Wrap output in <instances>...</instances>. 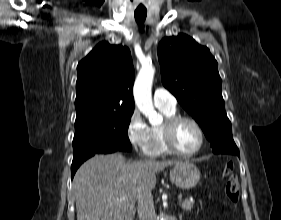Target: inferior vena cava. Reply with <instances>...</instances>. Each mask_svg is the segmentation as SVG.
<instances>
[{
  "instance_id": "1",
  "label": "inferior vena cava",
  "mask_w": 281,
  "mask_h": 220,
  "mask_svg": "<svg viewBox=\"0 0 281 220\" xmlns=\"http://www.w3.org/2000/svg\"><path fill=\"white\" fill-rule=\"evenodd\" d=\"M137 210L139 220L155 219V209L153 204V196L151 192H146L139 196Z\"/></svg>"
}]
</instances>
